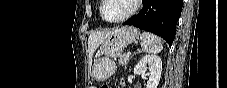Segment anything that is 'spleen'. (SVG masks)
<instances>
[{
	"label": "spleen",
	"mask_w": 227,
	"mask_h": 88,
	"mask_svg": "<svg viewBox=\"0 0 227 88\" xmlns=\"http://www.w3.org/2000/svg\"><path fill=\"white\" fill-rule=\"evenodd\" d=\"M140 40L142 50L146 53L156 54L161 52L163 49L161 38L152 33L143 32Z\"/></svg>",
	"instance_id": "1"
}]
</instances>
